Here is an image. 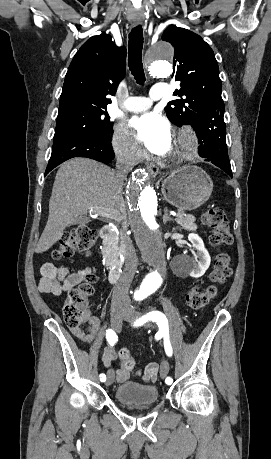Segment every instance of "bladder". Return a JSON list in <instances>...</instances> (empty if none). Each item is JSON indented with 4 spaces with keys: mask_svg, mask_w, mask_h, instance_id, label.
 Listing matches in <instances>:
<instances>
[{
    "mask_svg": "<svg viewBox=\"0 0 271 459\" xmlns=\"http://www.w3.org/2000/svg\"><path fill=\"white\" fill-rule=\"evenodd\" d=\"M114 400L116 404L151 405L158 401V389L153 385L122 382L115 389Z\"/></svg>",
    "mask_w": 271,
    "mask_h": 459,
    "instance_id": "1",
    "label": "bladder"
}]
</instances>
